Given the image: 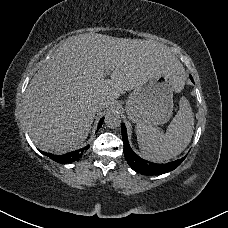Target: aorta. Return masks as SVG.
I'll list each match as a JSON object with an SVG mask.
<instances>
[{
    "label": "aorta",
    "mask_w": 228,
    "mask_h": 228,
    "mask_svg": "<svg viewBox=\"0 0 228 228\" xmlns=\"http://www.w3.org/2000/svg\"><path fill=\"white\" fill-rule=\"evenodd\" d=\"M105 124L109 128H117L121 125V119L118 113L116 112H109L105 116Z\"/></svg>",
    "instance_id": "obj_1"
}]
</instances>
